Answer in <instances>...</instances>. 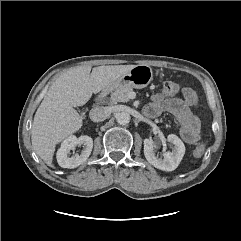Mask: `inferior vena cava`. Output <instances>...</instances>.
<instances>
[{
	"instance_id": "inferior-vena-cava-1",
	"label": "inferior vena cava",
	"mask_w": 241,
	"mask_h": 241,
	"mask_svg": "<svg viewBox=\"0 0 241 241\" xmlns=\"http://www.w3.org/2000/svg\"><path fill=\"white\" fill-rule=\"evenodd\" d=\"M108 116L109 111L105 107H95L89 113V117L93 122L104 121Z\"/></svg>"
}]
</instances>
